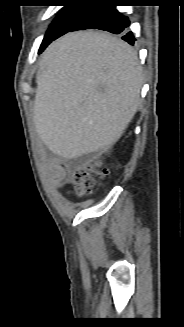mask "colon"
Returning <instances> with one entry per match:
<instances>
[{
  "mask_svg": "<svg viewBox=\"0 0 184 327\" xmlns=\"http://www.w3.org/2000/svg\"><path fill=\"white\" fill-rule=\"evenodd\" d=\"M106 175L107 170L102 167L100 161L95 160L86 164L73 175V185L76 193L80 196L88 194L97 180L104 178Z\"/></svg>",
  "mask_w": 184,
  "mask_h": 327,
  "instance_id": "1",
  "label": "colon"
}]
</instances>
